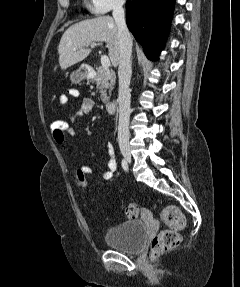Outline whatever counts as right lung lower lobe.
Masks as SVG:
<instances>
[{
    "instance_id": "98d812e1",
    "label": "right lung lower lobe",
    "mask_w": 240,
    "mask_h": 287,
    "mask_svg": "<svg viewBox=\"0 0 240 287\" xmlns=\"http://www.w3.org/2000/svg\"><path fill=\"white\" fill-rule=\"evenodd\" d=\"M174 0H127L126 22L150 60H157L168 34Z\"/></svg>"
}]
</instances>
